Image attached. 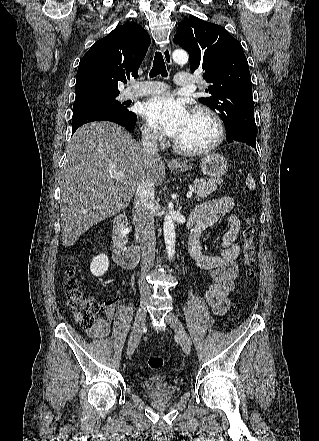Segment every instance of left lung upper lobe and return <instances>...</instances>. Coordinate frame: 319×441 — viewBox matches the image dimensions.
<instances>
[{"instance_id":"obj_1","label":"left lung upper lobe","mask_w":319,"mask_h":441,"mask_svg":"<svg viewBox=\"0 0 319 441\" xmlns=\"http://www.w3.org/2000/svg\"><path fill=\"white\" fill-rule=\"evenodd\" d=\"M175 42L189 53L192 71L203 69L209 97L200 98L215 110L226 137L246 129L257 133L252 82L240 42L222 26L191 16L178 25Z\"/></svg>"}]
</instances>
